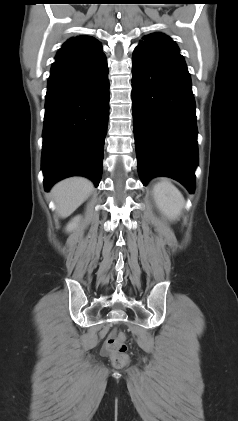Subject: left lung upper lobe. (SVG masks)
I'll return each mask as SVG.
<instances>
[{
	"label": "left lung upper lobe",
	"instance_id": "left-lung-upper-lobe-1",
	"mask_svg": "<svg viewBox=\"0 0 238 421\" xmlns=\"http://www.w3.org/2000/svg\"><path fill=\"white\" fill-rule=\"evenodd\" d=\"M150 52H179L176 43L167 35L152 33L144 37V41L136 47Z\"/></svg>",
	"mask_w": 238,
	"mask_h": 421
}]
</instances>
